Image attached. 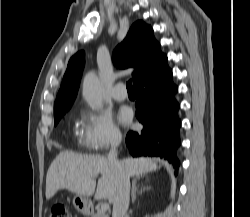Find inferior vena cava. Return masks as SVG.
Listing matches in <instances>:
<instances>
[{
    "label": "inferior vena cava",
    "instance_id": "602c4592",
    "mask_svg": "<svg viewBox=\"0 0 250 217\" xmlns=\"http://www.w3.org/2000/svg\"><path fill=\"white\" fill-rule=\"evenodd\" d=\"M121 137H116L111 143L108 160L115 170L116 191L113 201L112 217H126L129 206L130 178L117 159V147Z\"/></svg>",
    "mask_w": 250,
    "mask_h": 217
}]
</instances>
